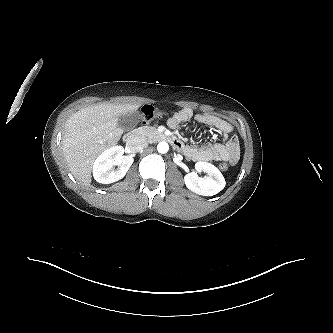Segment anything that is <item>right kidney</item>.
<instances>
[{
	"mask_svg": "<svg viewBox=\"0 0 333 333\" xmlns=\"http://www.w3.org/2000/svg\"><path fill=\"white\" fill-rule=\"evenodd\" d=\"M122 146L111 147L102 152L94 162V179L102 184H110L122 179L133 163L131 156H123ZM114 165H118L116 170H112Z\"/></svg>",
	"mask_w": 333,
	"mask_h": 333,
	"instance_id": "right-kidney-1",
	"label": "right kidney"
}]
</instances>
